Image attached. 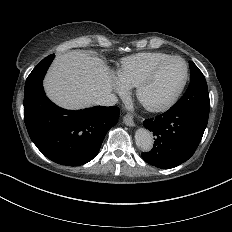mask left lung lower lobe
Instances as JSON below:
<instances>
[{
	"label": "left lung lower lobe",
	"mask_w": 232,
	"mask_h": 232,
	"mask_svg": "<svg viewBox=\"0 0 232 232\" xmlns=\"http://www.w3.org/2000/svg\"><path fill=\"white\" fill-rule=\"evenodd\" d=\"M208 118L191 110L172 109L151 119L144 126L153 132L154 145L142 158L149 164L162 168H174L187 161L196 151Z\"/></svg>",
	"instance_id": "obj_1"
}]
</instances>
